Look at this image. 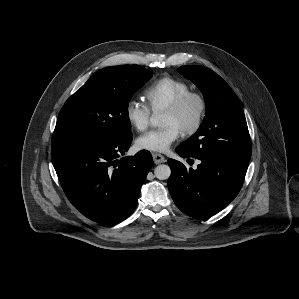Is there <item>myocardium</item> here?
Instances as JSON below:
<instances>
[{"label":"myocardium","instance_id":"f54148a6","mask_svg":"<svg viewBox=\"0 0 299 299\" xmlns=\"http://www.w3.org/2000/svg\"><path fill=\"white\" fill-rule=\"evenodd\" d=\"M192 101L197 103L198 109L194 119L190 123H187L180 128L182 133L185 135H192L201 128L206 117L208 107L205 95L200 91H188L176 99L164 110V112L173 115H180L184 112L187 105Z\"/></svg>","mask_w":299,"mask_h":299}]
</instances>
